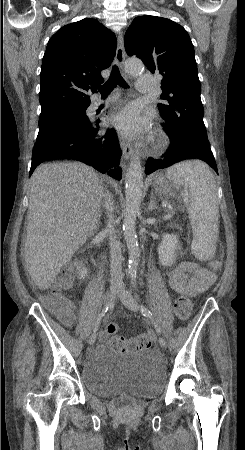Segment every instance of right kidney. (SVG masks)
<instances>
[{"mask_svg": "<svg viewBox=\"0 0 245 450\" xmlns=\"http://www.w3.org/2000/svg\"><path fill=\"white\" fill-rule=\"evenodd\" d=\"M86 276H87V270H86V268L83 267L79 271V279H85Z\"/></svg>", "mask_w": 245, "mask_h": 450, "instance_id": "1", "label": "right kidney"}]
</instances>
